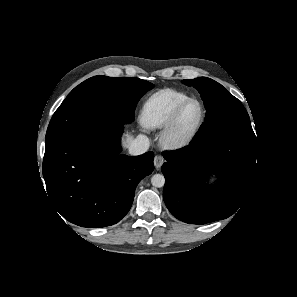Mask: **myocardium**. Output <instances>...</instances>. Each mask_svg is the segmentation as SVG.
Wrapping results in <instances>:
<instances>
[{
	"label": "myocardium",
	"mask_w": 297,
	"mask_h": 297,
	"mask_svg": "<svg viewBox=\"0 0 297 297\" xmlns=\"http://www.w3.org/2000/svg\"><path fill=\"white\" fill-rule=\"evenodd\" d=\"M192 102H195L199 105L201 110L200 117L197 123L195 124V126L188 133L180 134L177 130L179 117L182 111L184 110V108ZM206 114H207L206 108L200 100H198L197 98L186 99L180 105L177 106V108L172 113L169 121L165 125L162 133V143L168 149H173V150L181 149L188 146L200 132L205 122Z\"/></svg>",
	"instance_id": "f54148a6"
}]
</instances>
